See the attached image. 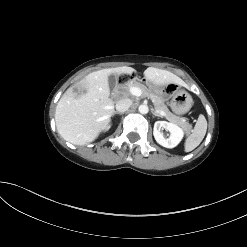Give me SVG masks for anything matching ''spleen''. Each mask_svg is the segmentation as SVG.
Returning a JSON list of instances; mask_svg holds the SVG:
<instances>
[{
	"instance_id": "1",
	"label": "spleen",
	"mask_w": 247,
	"mask_h": 247,
	"mask_svg": "<svg viewBox=\"0 0 247 247\" xmlns=\"http://www.w3.org/2000/svg\"><path fill=\"white\" fill-rule=\"evenodd\" d=\"M207 131V121L204 115H199L192 134L185 141V152L194 150L202 142Z\"/></svg>"
}]
</instances>
